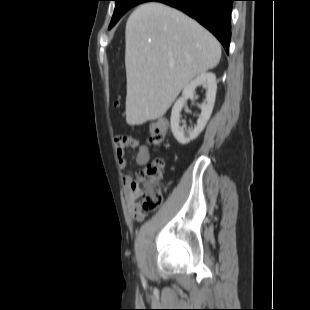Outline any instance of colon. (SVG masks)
<instances>
[{"mask_svg":"<svg viewBox=\"0 0 310 310\" xmlns=\"http://www.w3.org/2000/svg\"><path fill=\"white\" fill-rule=\"evenodd\" d=\"M168 130L166 121L152 122L147 130L149 143L155 147L162 145ZM163 165V160L157 158L146 168L139 169L130 181L129 189L134 195V201L145 211L156 210L162 204L163 193L159 181Z\"/></svg>","mask_w":310,"mask_h":310,"instance_id":"colon-1","label":"colon"}]
</instances>
